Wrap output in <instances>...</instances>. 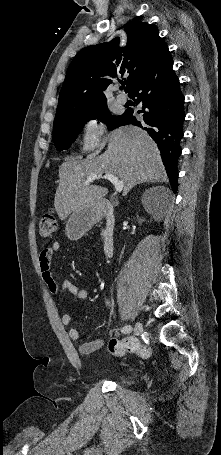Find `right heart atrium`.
Wrapping results in <instances>:
<instances>
[{"mask_svg":"<svg viewBox=\"0 0 221 455\" xmlns=\"http://www.w3.org/2000/svg\"><path fill=\"white\" fill-rule=\"evenodd\" d=\"M105 135V125L99 118L85 120L81 126L80 147L85 151L97 150L101 147Z\"/></svg>","mask_w":221,"mask_h":455,"instance_id":"obj_1","label":"right heart atrium"}]
</instances>
